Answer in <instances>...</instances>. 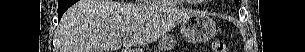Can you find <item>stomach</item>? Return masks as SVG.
Segmentation results:
<instances>
[{
  "mask_svg": "<svg viewBox=\"0 0 305 52\" xmlns=\"http://www.w3.org/2000/svg\"><path fill=\"white\" fill-rule=\"evenodd\" d=\"M180 31L182 37L192 43H203L212 39L216 34V23L210 17L192 13L182 20ZM176 44L172 35H165L159 41V48L156 52H169Z\"/></svg>",
  "mask_w": 305,
  "mask_h": 52,
  "instance_id": "1",
  "label": "stomach"
}]
</instances>
